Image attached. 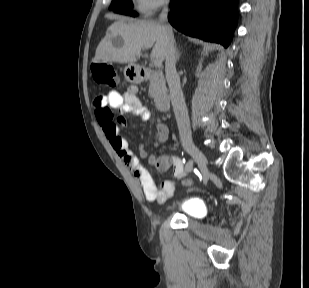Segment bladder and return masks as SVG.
I'll return each mask as SVG.
<instances>
[{
	"mask_svg": "<svg viewBox=\"0 0 309 288\" xmlns=\"http://www.w3.org/2000/svg\"><path fill=\"white\" fill-rule=\"evenodd\" d=\"M179 211L191 215L195 218H200L207 210L206 203L200 198L191 197L184 200L179 205Z\"/></svg>",
	"mask_w": 309,
	"mask_h": 288,
	"instance_id": "1",
	"label": "bladder"
}]
</instances>
